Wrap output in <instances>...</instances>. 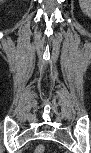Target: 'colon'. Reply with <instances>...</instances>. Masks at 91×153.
Masks as SVG:
<instances>
[{
  "label": "colon",
  "mask_w": 91,
  "mask_h": 153,
  "mask_svg": "<svg viewBox=\"0 0 91 153\" xmlns=\"http://www.w3.org/2000/svg\"><path fill=\"white\" fill-rule=\"evenodd\" d=\"M35 153H44L45 152V147L44 145H39L35 148L34 150Z\"/></svg>",
  "instance_id": "1"
}]
</instances>
